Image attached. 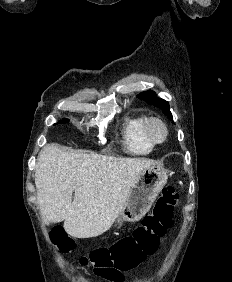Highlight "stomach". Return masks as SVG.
Masks as SVG:
<instances>
[{
    "label": "stomach",
    "mask_w": 232,
    "mask_h": 282,
    "mask_svg": "<svg viewBox=\"0 0 232 282\" xmlns=\"http://www.w3.org/2000/svg\"><path fill=\"white\" fill-rule=\"evenodd\" d=\"M168 170L152 165L144 169L132 186L127 200L115 219V226L124 221H139L151 208L158 194L167 183Z\"/></svg>",
    "instance_id": "0dacf381"
}]
</instances>
